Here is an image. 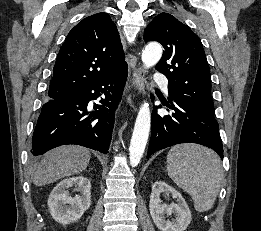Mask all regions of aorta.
<instances>
[{"mask_svg":"<svg viewBox=\"0 0 261 231\" xmlns=\"http://www.w3.org/2000/svg\"><path fill=\"white\" fill-rule=\"evenodd\" d=\"M163 50L160 44L150 43L142 52V62L146 68H150L161 59ZM151 125V113L149 104L144 102L138 112L129 147L130 164L136 167L144 154L148 141Z\"/></svg>","mask_w":261,"mask_h":231,"instance_id":"obj_1","label":"aorta"}]
</instances>
